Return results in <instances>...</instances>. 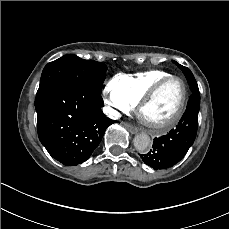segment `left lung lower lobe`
Returning a JSON list of instances; mask_svg holds the SVG:
<instances>
[{
	"mask_svg": "<svg viewBox=\"0 0 229 229\" xmlns=\"http://www.w3.org/2000/svg\"><path fill=\"white\" fill-rule=\"evenodd\" d=\"M185 77L189 83L191 96L179 124L167 135L155 138L152 150L141 155L142 160L153 169H167L177 164L192 146L198 127L200 93L191 71Z\"/></svg>",
	"mask_w": 229,
	"mask_h": 229,
	"instance_id": "0a47b994",
	"label": "left lung lower lobe"
}]
</instances>
